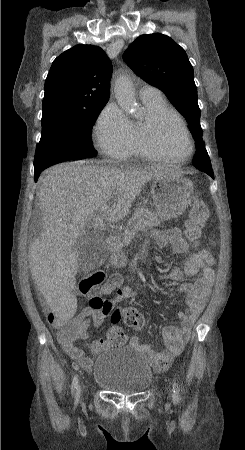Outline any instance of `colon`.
I'll return each instance as SVG.
<instances>
[{"instance_id":"1","label":"colon","mask_w":245,"mask_h":450,"mask_svg":"<svg viewBox=\"0 0 245 450\" xmlns=\"http://www.w3.org/2000/svg\"><path fill=\"white\" fill-rule=\"evenodd\" d=\"M189 209V216L184 225V234L190 244L197 245L202 237V229L209 216V209L203 199L196 194L189 198ZM201 258L210 265L214 263L213 257L207 250L201 252ZM118 280L119 277H108L103 270L90 269L83 275L80 288L83 292L93 294L91 301L93 309L108 312L113 323H117L122 318L128 327L140 331L145 325V319L135 307L127 306L122 309V312H119L107 304V299L100 297V294L111 293ZM50 324L58 330L64 341L75 340L86 335L81 322L62 321L60 318L54 317ZM108 336L115 345H121L127 340L120 328L111 329Z\"/></svg>"}]
</instances>
